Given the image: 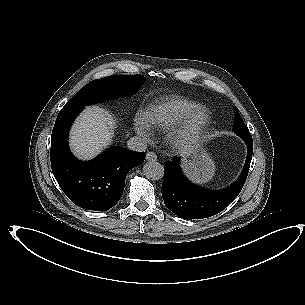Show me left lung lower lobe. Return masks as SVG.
<instances>
[{
	"label": "left lung lower lobe",
	"instance_id": "left-lung-lower-lobe-1",
	"mask_svg": "<svg viewBox=\"0 0 305 305\" xmlns=\"http://www.w3.org/2000/svg\"><path fill=\"white\" fill-rule=\"evenodd\" d=\"M251 140L247 139L248 146ZM175 157L172 162L164 164V179L162 196L165 205L177 216L182 218H206L221 212L236 197L232 196L227 203L220 206H210L205 198H209L217 192L201 190L188 184L180 174Z\"/></svg>",
	"mask_w": 305,
	"mask_h": 305
}]
</instances>
